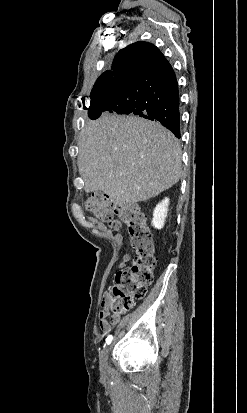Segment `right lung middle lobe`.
I'll use <instances>...</instances> for the list:
<instances>
[{"label": "right lung middle lobe", "mask_w": 247, "mask_h": 413, "mask_svg": "<svg viewBox=\"0 0 247 413\" xmlns=\"http://www.w3.org/2000/svg\"><path fill=\"white\" fill-rule=\"evenodd\" d=\"M133 94L134 89L127 82L96 81L91 91L89 108L112 96L127 97Z\"/></svg>", "instance_id": "dd1d6c3e"}]
</instances>
